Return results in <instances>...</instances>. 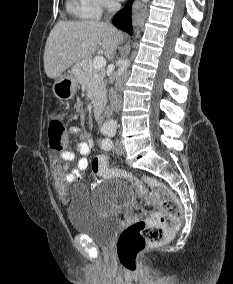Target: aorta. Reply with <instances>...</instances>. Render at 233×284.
<instances>
[{"label": "aorta", "instance_id": "obj_1", "mask_svg": "<svg viewBox=\"0 0 233 284\" xmlns=\"http://www.w3.org/2000/svg\"><path fill=\"white\" fill-rule=\"evenodd\" d=\"M142 1L148 2L149 0H142ZM128 67H129V60L126 59V60L122 61L120 67L118 68V70L116 71V74H115L116 81H118L121 78V76L126 72ZM106 126L111 127V128H115L116 127V121L111 119V120L106 122Z\"/></svg>", "mask_w": 233, "mask_h": 284}]
</instances>
